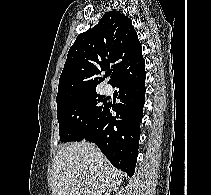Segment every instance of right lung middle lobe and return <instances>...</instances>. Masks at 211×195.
Masks as SVG:
<instances>
[{
	"mask_svg": "<svg viewBox=\"0 0 211 195\" xmlns=\"http://www.w3.org/2000/svg\"><path fill=\"white\" fill-rule=\"evenodd\" d=\"M106 98L96 91L57 105L61 142L81 141L107 106Z\"/></svg>",
	"mask_w": 211,
	"mask_h": 195,
	"instance_id": "dd1d6c3e",
	"label": "right lung middle lobe"
}]
</instances>
